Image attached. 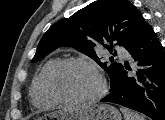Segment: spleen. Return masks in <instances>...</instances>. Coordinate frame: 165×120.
<instances>
[{"mask_svg":"<svg viewBox=\"0 0 165 120\" xmlns=\"http://www.w3.org/2000/svg\"><path fill=\"white\" fill-rule=\"evenodd\" d=\"M122 113L124 114L125 120H145V118L137 113L132 112L127 108H121Z\"/></svg>","mask_w":165,"mask_h":120,"instance_id":"3e777b00","label":"spleen"}]
</instances>
